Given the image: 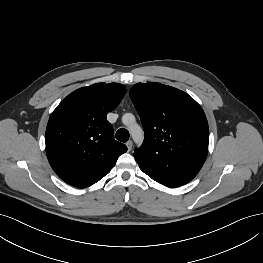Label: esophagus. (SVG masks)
<instances>
[{
  "instance_id": "esophagus-1",
  "label": "esophagus",
  "mask_w": 263,
  "mask_h": 263,
  "mask_svg": "<svg viewBox=\"0 0 263 263\" xmlns=\"http://www.w3.org/2000/svg\"><path fill=\"white\" fill-rule=\"evenodd\" d=\"M126 146H127V148H128V151H131L132 146H133V142H132L131 140L127 141V142H126Z\"/></svg>"
}]
</instances>
